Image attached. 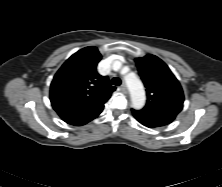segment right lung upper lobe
I'll return each instance as SVG.
<instances>
[{
	"mask_svg": "<svg viewBox=\"0 0 222 187\" xmlns=\"http://www.w3.org/2000/svg\"><path fill=\"white\" fill-rule=\"evenodd\" d=\"M101 57L96 47L83 48L55 74L50 86V100L65 122L97 117L115 91L108 77L101 76L96 70Z\"/></svg>",
	"mask_w": 222,
	"mask_h": 187,
	"instance_id": "obj_1",
	"label": "right lung upper lobe"
}]
</instances>
